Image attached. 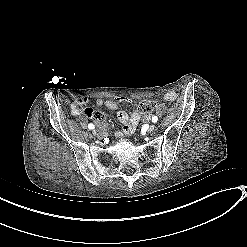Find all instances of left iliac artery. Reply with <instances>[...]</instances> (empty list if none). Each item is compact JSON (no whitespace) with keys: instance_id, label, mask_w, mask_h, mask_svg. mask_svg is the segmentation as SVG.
I'll return each mask as SVG.
<instances>
[{"instance_id":"44dca946","label":"left iliac artery","mask_w":247,"mask_h":247,"mask_svg":"<svg viewBox=\"0 0 247 247\" xmlns=\"http://www.w3.org/2000/svg\"><path fill=\"white\" fill-rule=\"evenodd\" d=\"M157 120H158V117H157V116H153V117H152V122H153V123H156Z\"/></svg>"}]
</instances>
